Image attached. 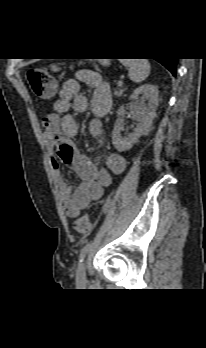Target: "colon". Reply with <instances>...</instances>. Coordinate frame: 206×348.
<instances>
[{
	"label": "colon",
	"mask_w": 206,
	"mask_h": 348,
	"mask_svg": "<svg viewBox=\"0 0 206 348\" xmlns=\"http://www.w3.org/2000/svg\"><path fill=\"white\" fill-rule=\"evenodd\" d=\"M27 80L32 94L37 98H48L55 93V80L47 68L33 67L29 69ZM91 225V215L85 213L75 220L74 229L85 235L91 231Z\"/></svg>",
	"instance_id": "obj_1"
}]
</instances>
